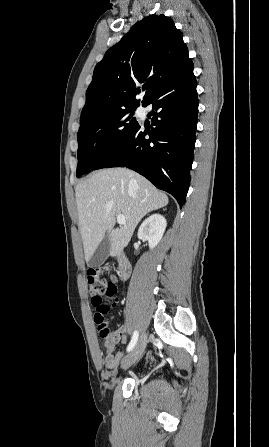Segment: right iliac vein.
<instances>
[{"label":"right iliac vein","mask_w":269,"mask_h":447,"mask_svg":"<svg viewBox=\"0 0 269 447\" xmlns=\"http://www.w3.org/2000/svg\"><path fill=\"white\" fill-rule=\"evenodd\" d=\"M147 343V335L143 333L132 351L122 360V367L127 368L134 364L143 354Z\"/></svg>","instance_id":"63e3f726"}]
</instances>
